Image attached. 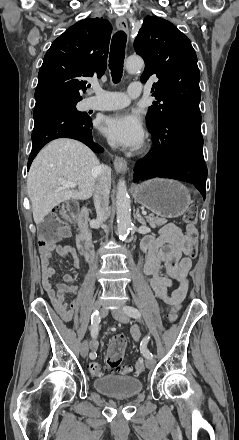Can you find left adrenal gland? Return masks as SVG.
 I'll use <instances>...</instances> for the list:
<instances>
[{"label":"left adrenal gland","mask_w":239,"mask_h":440,"mask_svg":"<svg viewBox=\"0 0 239 440\" xmlns=\"http://www.w3.org/2000/svg\"><path fill=\"white\" fill-rule=\"evenodd\" d=\"M134 218H136V220H138V222H140L142 226H146L145 220H143L142 216H140L139 208H137V212L136 214H134Z\"/></svg>","instance_id":"a2214340"}]
</instances>
